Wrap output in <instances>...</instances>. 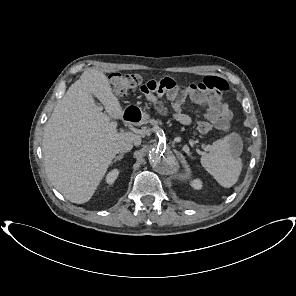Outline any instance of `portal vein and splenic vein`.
<instances>
[{"instance_id":"obj_1","label":"portal vein and splenic vein","mask_w":296,"mask_h":296,"mask_svg":"<svg viewBox=\"0 0 296 296\" xmlns=\"http://www.w3.org/2000/svg\"><path fill=\"white\" fill-rule=\"evenodd\" d=\"M100 109H102V108L100 107ZM110 127L115 129L117 127V123L116 122H111ZM186 152L189 154V149H187Z\"/></svg>"}]
</instances>
